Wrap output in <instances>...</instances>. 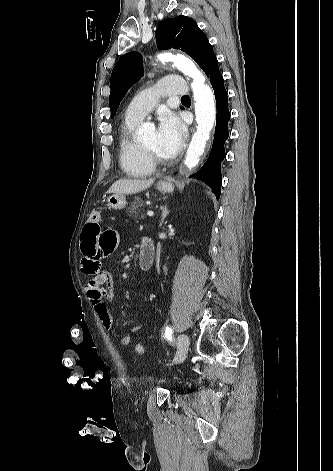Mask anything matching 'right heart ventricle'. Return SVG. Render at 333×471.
I'll return each instance as SVG.
<instances>
[{
    "label": "right heart ventricle",
    "instance_id": "right-heart-ventricle-1",
    "mask_svg": "<svg viewBox=\"0 0 333 471\" xmlns=\"http://www.w3.org/2000/svg\"><path fill=\"white\" fill-rule=\"evenodd\" d=\"M139 119L125 117L119 133V163L124 173L130 177H145L154 171V164L142 149L141 143L133 135Z\"/></svg>",
    "mask_w": 333,
    "mask_h": 471
}]
</instances>
